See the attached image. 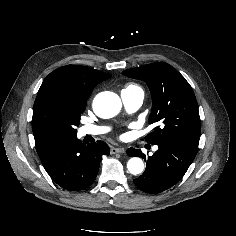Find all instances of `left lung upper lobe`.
I'll list each match as a JSON object with an SVG mask.
<instances>
[{
  "label": "left lung upper lobe",
  "instance_id": "5c2ea615",
  "mask_svg": "<svg viewBox=\"0 0 236 236\" xmlns=\"http://www.w3.org/2000/svg\"><path fill=\"white\" fill-rule=\"evenodd\" d=\"M125 76L144 80L152 95L149 123L156 124L145 140L151 144L179 142L198 148L200 117L194 92L172 66L156 62L123 71Z\"/></svg>",
  "mask_w": 236,
  "mask_h": 236
}]
</instances>
